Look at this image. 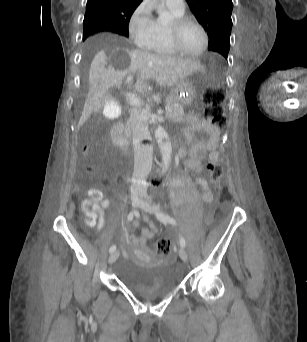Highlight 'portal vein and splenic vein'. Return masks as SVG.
I'll use <instances>...</instances> for the list:
<instances>
[{"mask_svg":"<svg viewBox=\"0 0 307 342\" xmlns=\"http://www.w3.org/2000/svg\"><path fill=\"white\" fill-rule=\"evenodd\" d=\"M131 80H133V76H128L124 81L123 84L121 85V88L123 90H126L128 88V85L130 84ZM128 91L126 92V99L127 101L130 102L131 105H136L138 109H141L143 107V104L139 102V95L138 94H133L131 91L132 89L129 87L127 89ZM168 110L170 109L169 107L167 108Z\"/></svg>","mask_w":307,"mask_h":342,"instance_id":"18ae733b","label":"portal vein and splenic vein"}]
</instances>
